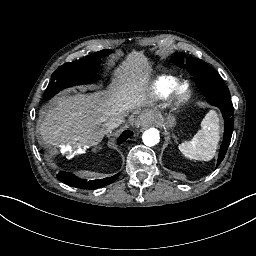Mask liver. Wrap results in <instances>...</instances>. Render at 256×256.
<instances>
[{
  "label": "liver",
  "instance_id": "1",
  "mask_svg": "<svg viewBox=\"0 0 256 256\" xmlns=\"http://www.w3.org/2000/svg\"><path fill=\"white\" fill-rule=\"evenodd\" d=\"M148 69L142 53L133 51L108 93L59 97L39 125L41 136L56 147L96 146L109 132L106 124L110 119L127 116L147 99ZM142 117L153 121L158 118L151 112Z\"/></svg>",
  "mask_w": 256,
  "mask_h": 256
}]
</instances>
